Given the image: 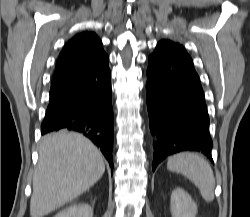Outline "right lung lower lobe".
Wrapping results in <instances>:
<instances>
[{"label":"right lung lower lobe","instance_id":"98d812e1","mask_svg":"<svg viewBox=\"0 0 250 217\" xmlns=\"http://www.w3.org/2000/svg\"><path fill=\"white\" fill-rule=\"evenodd\" d=\"M106 56L87 72L51 86L41 124L42 134L58 130L79 132L100 148L113 169V109L111 73Z\"/></svg>","mask_w":250,"mask_h":217}]
</instances>
